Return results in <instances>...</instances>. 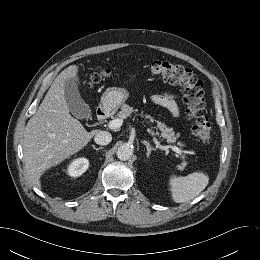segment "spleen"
Masks as SVG:
<instances>
[{"label": "spleen", "instance_id": "spleen-1", "mask_svg": "<svg viewBox=\"0 0 260 260\" xmlns=\"http://www.w3.org/2000/svg\"><path fill=\"white\" fill-rule=\"evenodd\" d=\"M209 177L203 172H194L185 177L173 175L169 179L172 199L184 203L198 196L208 185Z\"/></svg>", "mask_w": 260, "mask_h": 260}]
</instances>
